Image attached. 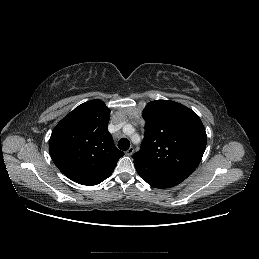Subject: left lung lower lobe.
Segmentation results:
<instances>
[{
    "label": "left lung lower lobe",
    "mask_w": 259,
    "mask_h": 259,
    "mask_svg": "<svg viewBox=\"0 0 259 259\" xmlns=\"http://www.w3.org/2000/svg\"><path fill=\"white\" fill-rule=\"evenodd\" d=\"M139 176L154 188H169L178 185L184 179L152 169L145 164L134 162Z\"/></svg>",
    "instance_id": "1"
}]
</instances>
